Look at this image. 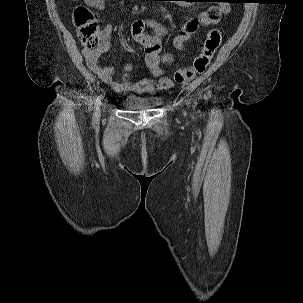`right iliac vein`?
<instances>
[{"mask_svg":"<svg viewBox=\"0 0 303 303\" xmlns=\"http://www.w3.org/2000/svg\"><path fill=\"white\" fill-rule=\"evenodd\" d=\"M100 115H101V110H100V107L97 106L95 109V112H94V120L98 121L100 118Z\"/></svg>","mask_w":303,"mask_h":303,"instance_id":"obj_1","label":"right iliac vein"}]
</instances>
